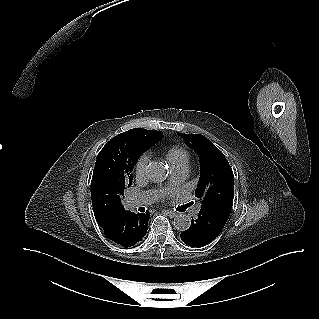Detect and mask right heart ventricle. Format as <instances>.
<instances>
[{
	"label": "right heart ventricle",
	"instance_id": "right-heart-ventricle-1",
	"mask_svg": "<svg viewBox=\"0 0 319 319\" xmlns=\"http://www.w3.org/2000/svg\"><path fill=\"white\" fill-rule=\"evenodd\" d=\"M166 158L172 168H175L182 163H188L189 161L188 152L180 146H173L169 148Z\"/></svg>",
	"mask_w": 319,
	"mask_h": 319
}]
</instances>
